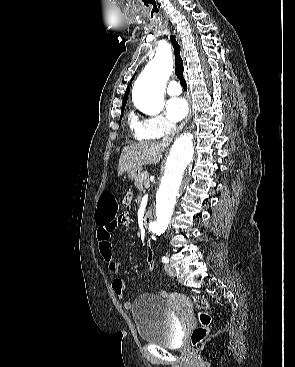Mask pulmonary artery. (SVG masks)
Masks as SVG:
<instances>
[{
    "label": "pulmonary artery",
    "mask_w": 295,
    "mask_h": 367,
    "mask_svg": "<svg viewBox=\"0 0 295 367\" xmlns=\"http://www.w3.org/2000/svg\"><path fill=\"white\" fill-rule=\"evenodd\" d=\"M182 92V88L179 85V83L175 80H172L169 82L168 86H167V93L170 96H177L179 94H181Z\"/></svg>",
    "instance_id": "1"
}]
</instances>
